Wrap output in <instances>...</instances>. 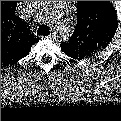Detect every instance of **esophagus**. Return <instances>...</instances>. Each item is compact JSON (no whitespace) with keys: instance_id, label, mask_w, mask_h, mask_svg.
I'll return each instance as SVG.
<instances>
[{"instance_id":"1","label":"esophagus","mask_w":121,"mask_h":121,"mask_svg":"<svg viewBox=\"0 0 121 121\" xmlns=\"http://www.w3.org/2000/svg\"><path fill=\"white\" fill-rule=\"evenodd\" d=\"M51 36H52V37H55V32H52V33H51Z\"/></svg>"}]
</instances>
